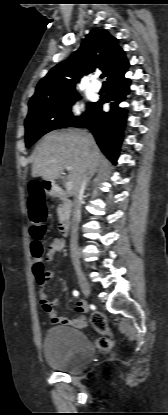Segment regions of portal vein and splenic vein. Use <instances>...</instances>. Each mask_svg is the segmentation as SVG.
Returning a JSON list of instances; mask_svg holds the SVG:
<instances>
[{
    "mask_svg": "<svg viewBox=\"0 0 168 415\" xmlns=\"http://www.w3.org/2000/svg\"><path fill=\"white\" fill-rule=\"evenodd\" d=\"M66 169H67L68 171H70V167H66ZM72 187H73V183H72L71 181H67V182H66V184H65V188H66V190H67V191H70V190L72 189Z\"/></svg>",
    "mask_w": 168,
    "mask_h": 415,
    "instance_id": "obj_1",
    "label": "portal vein and splenic vein"
}]
</instances>
